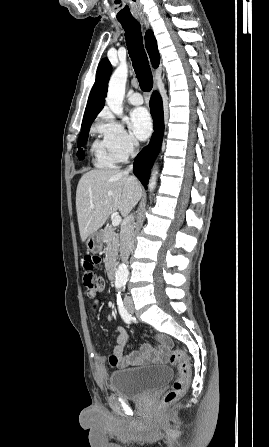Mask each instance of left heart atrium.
I'll return each instance as SVG.
<instances>
[{
  "label": "left heart atrium",
  "instance_id": "left-heart-atrium-1",
  "mask_svg": "<svg viewBox=\"0 0 269 447\" xmlns=\"http://www.w3.org/2000/svg\"><path fill=\"white\" fill-rule=\"evenodd\" d=\"M130 127L134 135L140 140H146L153 128L152 118L144 107L136 108L130 117Z\"/></svg>",
  "mask_w": 269,
  "mask_h": 447
}]
</instances>
